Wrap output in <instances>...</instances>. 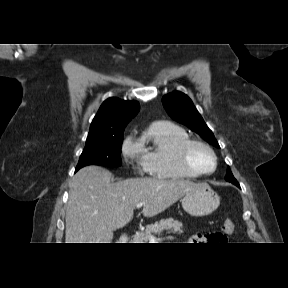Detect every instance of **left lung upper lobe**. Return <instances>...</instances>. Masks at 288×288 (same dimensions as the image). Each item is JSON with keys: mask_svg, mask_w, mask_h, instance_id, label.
Returning <instances> with one entry per match:
<instances>
[{"mask_svg": "<svg viewBox=\"0 0 288 288\" xmlns=\"http://www.w3.org/2000/svg\"><path fill=\"white\" fill-rule=\"evenodd\" d=\"M162 103L172 119L188 126L191 130L198 133L205 141L219 148L212 131L208 128L203 118L193 105L191 99L180 91H175L165 95ZM225 180L228 182L237 181L230 168H227Z\"/></svg>", "mask_w": 288, "mask_h": 288, "instance_id": "left-lung-upper-lobe-1", "label": "left lung upper lobe"}]
</instances>
